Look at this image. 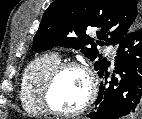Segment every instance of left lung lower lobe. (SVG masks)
<instances>
[{
  "label": "left lung lower lobe",
  "instance_id": "0a47b994",
  "mask_svg": "<svg viewBox=\"0 0 142 119\" xmlns=\"http://www.w3.org/2000/svg\"><path fill=\"white\" fill-rule=\"evenodd\" d=\"M115 70L120 76L112 75L100 84L95 110L86 115L88 119H120L128 114L142 113V27L127 33L119 42ZM99 73L107 77L109 67Z\"/></svg>",
  "mask_w": 142,
  "mask_h": 119
}]
</instances>
